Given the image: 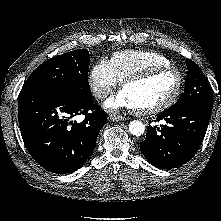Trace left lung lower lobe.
<instances>
[{
  "mask_svg": "<svg viewBox=\"0 0 221 221\" xmlns=\"http://www.w3.org/2000/svg\"><path fill=\"white\" fill-rule=\"evenodd\" d=\"M212 107L198 103L161 113L155 121L165 120L167 125L148 127L140 144L142 154L157 168H175L188 162L203 142Z\"/></svg>",
  "mask_w": 221,
  "mask_h": 221,
  "instance_id": "0a47b994",
  "label": "left lung lower lobe"
}]
</instances>
